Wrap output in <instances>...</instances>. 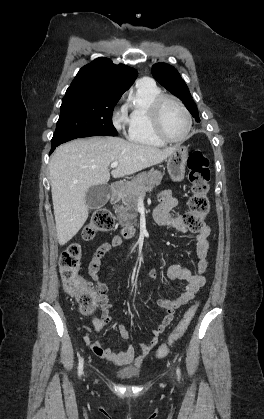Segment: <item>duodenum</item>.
Masks as SVG:
<instances>
[{"instance_id":"1","label":"duodenum","mask_w":264,"mask_h":419,"mask_svg":"<svg viewBox=\"0 0 264 419\" xmlns=\"http://www.w3.org/2000/svg\"><path fill=\"white\" fill-rule=\"evenodd\" d=\"M121 195V186L119 184H114L111 187V194L110 198L112 201H116L119 199ZM134 234V229L132 227H126L122 230V235L125 238H129Z\"/></svg>"}]
</instances>
